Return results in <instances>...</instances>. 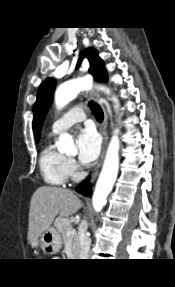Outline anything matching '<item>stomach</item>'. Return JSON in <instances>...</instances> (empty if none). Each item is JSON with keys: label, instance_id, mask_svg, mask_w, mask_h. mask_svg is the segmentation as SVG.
Instances as JSON below:
<instances>
[{"label": "stomach", "instance_id": "1", "mask_svg": "<svg viewBox=\"0 0 175 287\" xmlns=\"http://www.w3.org/2000/svg\"><path fill=\"white\" fill-rule=\"evenodd\" d=\"M61 245V236L54 228H49L31 243L33 248H41L46 254L49 255L59 252Z\"/></svg>", "mask_w": 175, "mask_h": 287}]
</instances>
